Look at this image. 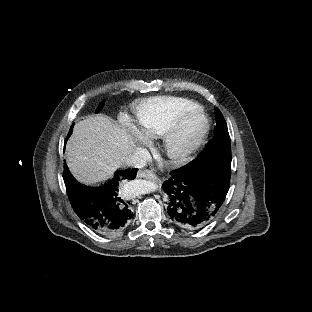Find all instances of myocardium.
Wrapping results in <instances>:
<instances>
[{
	"mask_svg": "<svg viewBox=\"0 0 312 312\" xmlns=\"http://www.w3.org/2000/svg\"><path fill=\"white\" fill-rule=\"evenodd\" d=\"M209 122L206 112L199 108L182 114L179 118H172L166 126L169 135L165 134L159 139L161 154L177 164L189 163L195 155L192 146L201 148L202 141L208 137L207 132L212 129Z\"/></svg>",
	"mask_w": 312,
	"mask_h": 312,
	"instance_id": "obj_1",
	"label": "myocardium"
}]
</instances>
